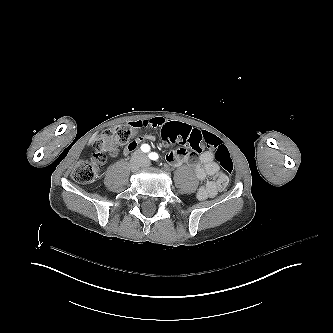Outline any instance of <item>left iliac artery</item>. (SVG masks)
Returning <instances> with one entry per match:
<instances>
[{
    "label": "left iliac artery",
    "mask_w": 333,
    "mask_h": 333,
    "mask_svg": "<svg viewBox=\"0 0 333 333\" xmlns=\"http://www.w3.org/2000/svg\"><path fill=\"white\" fill-rule=\"evenodd\" d=\"M149 158L151 160H157L158 159V154L152 152V153L149 154Z\"/></svg>",
    "instance_id": "obj_1"
}]
</instances>
